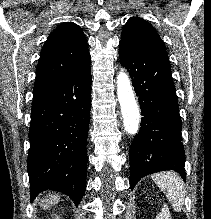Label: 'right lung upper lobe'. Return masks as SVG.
I'll use <instances>...</instances> for the list:
<instances>
[{
  "label": "right lung upper lobe",
  "mask_w": 211,
  "mask_h": 219,
  "mask_svg": "<svg viewBox=\"0 0 211 219\" xmlns=\"http://www.w3.org/2000/svg\"><path fill=\"white\" fill-rule=\"evenodd\" d=\"M89 62L90 54L82 29L72 22L58 26L41 50L33 93L51 87Z\"/></svg>",
  "instance_id": "cb5924a9"
}]
</instances>
